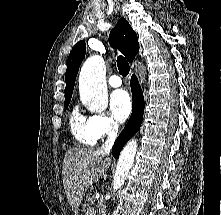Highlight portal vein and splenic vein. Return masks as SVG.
<instances>
[{
    "mask_svg": "<svg viewBox=\"0 0 221 215\" xmlns=\"http://www.w3.org/2000/svg\"><path fill=\"white\" fill-rule=\"evenodd\" d=\"M93 211H94V208H93V207H90V208L87 210V215H92V214H93Z\"/></svg>",
    "mask_w": 221,
    "mask_h": 215,
    "instance_id": "1",
    "label": "portal vein and splenic vein"
}]
</instances>
